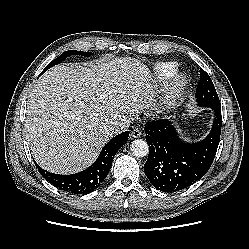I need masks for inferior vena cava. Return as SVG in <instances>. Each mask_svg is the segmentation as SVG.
<instances>
[{
  "label": "inferior vena cava",
  "mask_w": 249,
  "mask_h": 249,
  "mask_svg": "<svg viewBox=\"0 0 249 249\" xmlns=\"http://www.w3.org/2000/svg\"><path fill=\"white\" fill-rule=\"evenodd\" d=\"M131 120L129 118H120L117 122L110 126L112 135L120 134L126 131L130 126Z\"/></svg>",
  "instance_id": "602c4592"
}]
</instances>
